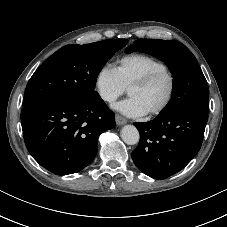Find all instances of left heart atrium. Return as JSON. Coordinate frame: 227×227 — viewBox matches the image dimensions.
<instances>
[{"mask_svg":"<svg viewBox=\"0 0 227 227\" xmlns=\"http://www.w3.org/2000/svg\"><path fill=\"white\" fill-rule=\"evenodd\" d=\"M114 108L123 115L131 118H138L146 114L139 102L133 97L117 103Z\"/></svg>","mask_w":227,"mask_h":227,"instance_id":"left-heart-atrium-1","label":"left heart atrium"}]
</instances>
